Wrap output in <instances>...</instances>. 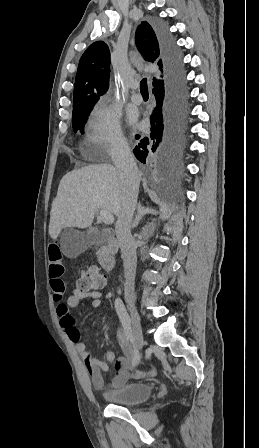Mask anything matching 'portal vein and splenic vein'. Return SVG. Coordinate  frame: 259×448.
Wrapping results in <instances>:
<instances>
[{
    "label": "portal vein and splenic vein",
    "mask_w": 259,
    "mask_h": 448,
    "mask_svg": "<svg viewBox=\"0 0 259 448\" xmlns=\"http://www.w3.org/2000/svg\"><path fill=\"white\" fill-rule=\"evenodd\" d=\"M100 218L104 224H113L114 218L111 214V212H107V210H101L100 212Z\"/></svg>",
    "instance_id": "1"
}]
</instances>
